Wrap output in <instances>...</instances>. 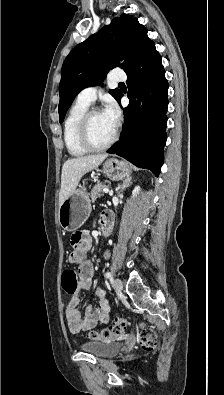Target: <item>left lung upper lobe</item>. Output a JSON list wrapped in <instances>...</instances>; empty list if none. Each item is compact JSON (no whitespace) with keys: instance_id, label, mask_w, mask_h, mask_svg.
<instances>
[{"instance_id":"5c2ea615","label":"left lung upper lobe","mask_w":224,"mask_h":395,"mask_svg":"<svg viewBox=\"0 0 224 395\" xmlns=\"http://www.w3.org/2000/svg\"><path fill=\"white\" fill-rule=\"evenodd\" d=\"M151 42L147 29L139 24L137 18L122 14L78 44L62 66L59 121H63L66 111L81 90L101 83L107 72L116 66L128 71ZM119 59H125L128 65H119ZM110 94L117 100L121 92L114 89Z\"/></svg>"}]
</instances>
